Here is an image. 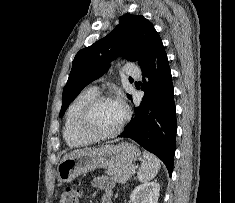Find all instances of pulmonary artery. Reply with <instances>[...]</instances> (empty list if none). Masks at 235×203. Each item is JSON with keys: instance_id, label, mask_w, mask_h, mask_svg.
<instances>
[{"instance_id": "e3ab8cb5", "label": "pulmonary artery", "mask_w": 235, "mask_h": 203, "mask_svg": "<svg viewBox=\"0 0 235 203\" xmlns=\"http://www.w3.org/2000/svg\"><path fill=\"white\" fill-rule=\"evenodd\" d=\"M126 72H127V74H129L131 76H138L139 75V71L130 65L127 66Z\"/></svg>"}]
</instances>
